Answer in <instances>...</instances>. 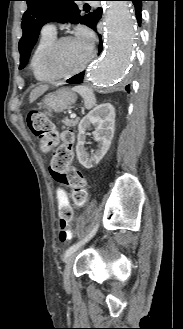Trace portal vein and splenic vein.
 <instances>
[{"instance_id": "18ae733b", "label": "portal vein and splenic vein", "mask_w": 183, "mask_h": 329, "mask_svg": "<svg viewBox=\"0 0 183 329\" xmlns=\"http://www.w3.org/2000/svg\"><path fill=\"white\" fill-rule=\"evenodd\" d=\"M70 117H71L72 119H75V118H76V114H71Z\"/></svg>"}]
</instances>
